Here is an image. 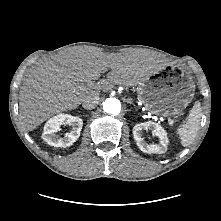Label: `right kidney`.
<instances>
[{
  "instance_id": "1",
  "label": "right kidney",
  "mask_w": 221,
  "mask_h": 221,
  "mask_svg": "<svg viewBox=\"0 0 221 221\" xmlns=\"http://www.w3.org/2000/svg\"><path fill=\"white\" fill-rule=\"evenodd\" d=\"M63 124H69L72 130L64 137H59L56 133L60 131V126ZM82 126L83 120L79 116L58 114L46 122L42 137L51 146L69 147L79 138Z\"/></svg>"
}]
</instances>
